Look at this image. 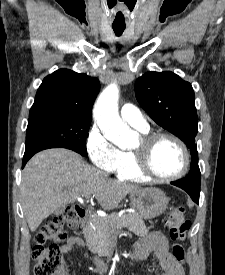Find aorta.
Returning a JSON list of instances; mask_svg holds the SVG:
<instances>
[{"label": "aorta", "mask_w": 225, "mask_h": 275, "mask_svg": "<svg viewBox=\"0 0 225 275\" xmlns=\"http://www.w3.org/2000/svg\"><path fill=\"white\" fill-rule=\"evenodd\" d=\"M119 88L107 86L97 99L93 114L104 136L121 149H128L137 141L136 133L124 123L118 113Z\"/></svg>", "instance_id": "aorta-1"}]
</instances>
